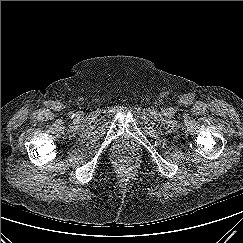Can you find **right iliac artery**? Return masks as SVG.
I'll list each match as a JSON object with an SVG mask.
<instances>
[{
  "mask_svg": "<svg viewBox=\"0 0 243 243\" xmlns=\"http://www.w3.org/2000/svg\"><path fill=\"white\" fill-rule=\"evenodd\" d=\"M69 116H70L71 118H73V117L75 116V113H74V112H70V113H69Z\"/></svg>",
  "mask_w": 243,
  "mask_h": 243,
  "instance_id": "obj_1",
  "label": "right iliac artery"
}]
</instances>
